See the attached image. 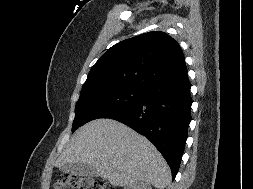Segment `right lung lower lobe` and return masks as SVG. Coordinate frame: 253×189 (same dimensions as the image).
Segmentation results:
<instances>
[{
	"label": "right lung lower lobe",
	"instance_id": "obj_1",
	"mask_svg": "<svg viewBox=\"0 0 253 189\" xmlns=\"http://www.w3.org/2000/svg\"><path fill=\"white\" fill-rule=\"evenodd\" d=\"M189 79L154 86L136 104L106 118L117 120L147 137L160 151L175 179L191 121Z\"/></svg>",
	"mask_w": 253,
	"mask_h": 189
}]
</instances>
